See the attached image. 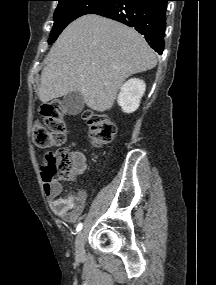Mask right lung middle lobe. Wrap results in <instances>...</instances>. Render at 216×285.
<instances>
[{
  "mask_svg": "<svg viewBox=\"0 0 216 285\" xmlns=\"http://www.w3.org/2000/svg\"><path fill=\"white\" fill-rule=\"evenodd\" d=\"M54 13V25L50 33L49 44L54 42L63 29L80 16L90 14L113 0H57Z\"/></svg>",
  "mask_w": 216,
  "mask_h": 285,
  "instance_id": "dd1d6c3e",
  "label": "right lung middle lobe"
}]
</instances>
